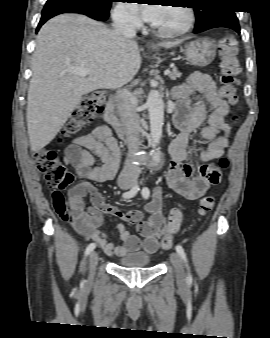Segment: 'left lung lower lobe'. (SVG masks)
<instances>
[{"instance_id":"1","label":"left lung lower lobe","mask_w":270,"mask_h":338,"mask_svg":"<svg viewBox=\"0 0 270 338\" xmlns=\"http://www.w3.org/2000/svg\"><path fill=\"white\" fill-rule=\"evenodd\" d=\"M216 27L230 28V29L235 30L238 34H240L239 22H238V19H237L235 13L226 14L225 16L220 17V18L210 22L203 29H201L199 31L194 30V32L199 33L201 31H204V30H207V29H210V28H216Z\"/></svg>"}]
</instances>
